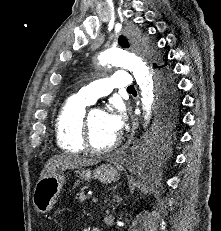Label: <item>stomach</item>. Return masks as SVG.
Masks as SVG:
<instances>
[{
	"label": "stomach",
	"instance_id": "stomach-1",
	"mask_svg": "<svg viewBox=\"0 0 221 231\" xmlns=\"http://www.w3.org/2000/svg\"><path fill=\"white\" fill-rule=\"evenodd\" d=\"M77 173L85 180L95 178L104 184L117 182L120 178L118 170L110 163L102 164L93 171L80 169ZM64 183L65 176L62 172L38 180L34 188L33 205L39 213H46L53 208Z\"/></svg>",
	"mask_w": 221,
	"mask_h": 231
}]
</instances>
